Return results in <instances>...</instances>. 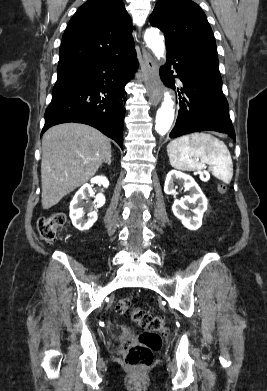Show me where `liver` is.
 I'll return each mask as SVG.
<instances>
[{
    "mask_svg": "<svg viewBox=\"0 0 267 391\" xmlns=\"http://www.w3.org/2000/svg\"><path fill=\"white\" fill-rule=\"evenodd\" d=\"M111 158L110 140L77 123L56 125L42 137V207L49 209L91 179Z\"/></svg>",
    "mask_w": 267,
    "mask_h": 391,
    "instance_id": "liver-1",
    "label": "liver"
}]
</instances>
